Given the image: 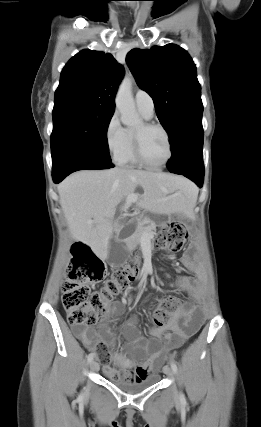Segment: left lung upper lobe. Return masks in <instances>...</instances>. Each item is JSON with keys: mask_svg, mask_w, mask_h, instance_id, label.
<instances>
[{"mask_svg": "<svg viewBox=\"0 0 261 427\" xmlns=\"http://www.w3.org/2000/svg\"><path fill=\"white\" fill-rule=\"evenodd\" d=\"M126 61L137 84L152 97L170 142L183 127L202 122L196 66L183 48L167 44L150 50L133 49Z\"/></svg>", "mask_w": 261, "mask_h": 427, "instance_id": "obj_1", "label": "left lung upper lobe"}]
</instances>
